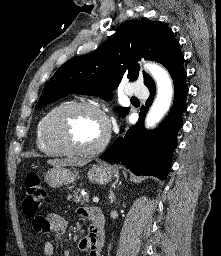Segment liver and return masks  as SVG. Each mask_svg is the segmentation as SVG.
<instances>
[{
	"label": "liver",
	"instance_id": "1",
	"mask_svg": "<svg viewBox=\"0 0 221 256\" xmlns=\"http://www.w3.org/2000/svg\"><path fill=\"white\" fill-rule=\"evenodd\" d=\"M87 160L80 158H67V159H50L47 161L53 167H64V166H82L87 164Z\"/></svg>",
	"mask_w": 221,
	"mask_h": 256
}]
</instances>
